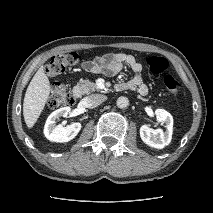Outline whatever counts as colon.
<instances>
[{"mask_svg": "<svg viewBox=\"0 0 213 213\" xmlns=\"http://www.w3.org/2000/svg\"><path fill=\"white\" fill-rule=\"evenodd\" d=\"M77 62L78 55L74 52L55 55L48 62L46 72L49 76H58L71 70ZM146 64L149 71L155 75L163 73L168 67V61L160 56L149 57ZM163 84L170 94H177L180 91V84L172 75H166ZM73 102L74 96L64 84L60 82L53 84L48 100L51 108L69 106Z\"/></svg>", "mask_w": 213, "mask_h": 213, "instance_id": "5ec220e1", "label": "colon"}]
</instances>
